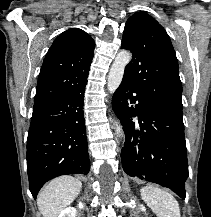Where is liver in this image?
Returning <instances> with one entry per match:
<instances>
[{
    "mask_svg": "<svg viewBox=\"0 0 211 217\" xmlns=\"http://www.w3.org/2000/svg\"><path fill=\"white\" fill-rule=\"evenodd\" d=\"M82 189V183L72 176H61L52 180L39 193L38 209L43 217H58L71 204Z\"/></svg>",
    "mask_w": 211,
    "mask_h": 217,
    "instance_id": "liver-1",
    "label": "liver"
}]
</instances>
